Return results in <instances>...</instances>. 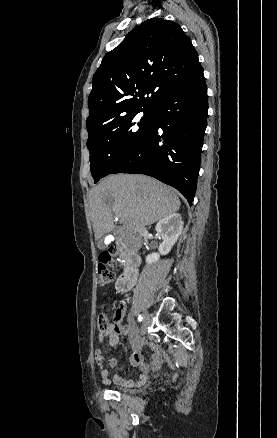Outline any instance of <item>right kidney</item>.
<instances>
[{
    "label": "right kidney",
    "instance_id": "ca27d5eb",
    "mask_svg": "<svg viewBox=\"0 0 277 438\" xmlns=\"http://www.w3.org/2000/svg\"><path fill=\"white\" fill-rule=\"evenodd\" d=\"M183 226L184 222H182V216H180V214H169V216L157 222L155 230L157 234L161 236L163 242L158 248L159 252L146 256L147 264H155V262L160 260V256H166V254L171 252V248H173L175 242H177L183 230Z\"/></svg>",
    "mask_w": 277,
    "mask_h": 438
}]
</instances>
